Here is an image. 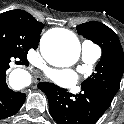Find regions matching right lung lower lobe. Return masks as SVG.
<instances>
[{"instance_id":"1","label":"right lung lower lobe","mask_w":124,"mask_h":124,"mask_svg":"<svg viewBox=\"0 0 124 124\" xmlns=\"http://www.w3.org/2000/svg\"><path fill=\"white\" fill-rule=\"evenodd\" d=\"M15 58L7 53L0 52V119L14 115L25 101V93L14 92L6 83V73L10 68V62Z\"/></svg>"}]
</instances>
